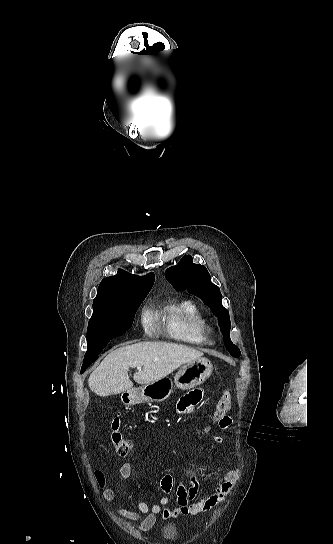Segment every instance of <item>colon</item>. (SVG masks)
Segmentation results:
<instances>
[{"mask_svg": "<svg viewBox=\"0 0 333 544\" xmlns=\"http://www.w3.org/2000/svg\"><path fill=\"white\" fill-rule=\"evenodd\" d=\"M231 404L232 393L231 391L226 390L216 404L213 419L218 422L222 420L225 417L226 413L230 410ZM110 437L115 452L119 456H126L131 452L132 442L122 433V424L119 417H116L112 422ZM96 475L98 480L101 482L102 474L100 472H97Z\"/></svg>", "mask_w": 333, "mask_h": 544, "instance_id": "1", "label": "colon"}]
</instances>
